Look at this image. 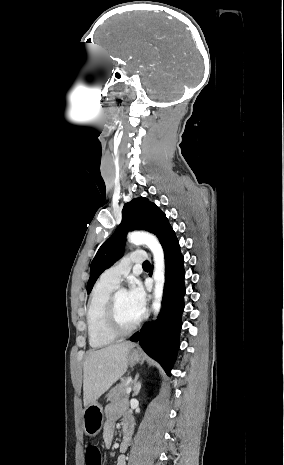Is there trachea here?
I'll return each mask as SVG.
<instances>
[{"label":"trachea","instance_id":"obj_1","mask_svg":"<svg viewBox=\"0 0 284 465\" xmlns=\"http://www.w3.org/2000/svg\"><path fill=\"white\" fill-rule=\"evenodd\" d=\"M143 268L150 269V263L148 261L144 262Z\"/></svg>","mask_w":284,"mask_h":465}]
</instances>
